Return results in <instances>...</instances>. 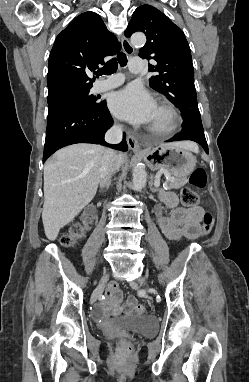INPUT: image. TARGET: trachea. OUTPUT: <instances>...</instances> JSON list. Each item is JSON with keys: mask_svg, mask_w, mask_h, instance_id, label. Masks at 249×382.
I'll use <instances>...</instances> for the list:
<instances>
[{"mask_svg": "<svg viewBox=\"0 0 249 382\" xmlns=\"http://www.w3.org/2000/svg\"><path fill=\"white\" fill-rule=\"evenodd\" d=\"M118 63L121 66H125L127 64V57L123 52H120L116 58L109 60L105 66L97 72V75H111L115 73L118 68Z\"/></svg>", "mask_w": 249, "mask_h": 382, "instance_id": "obj_1", "label": "trachea"}]
</instances>
